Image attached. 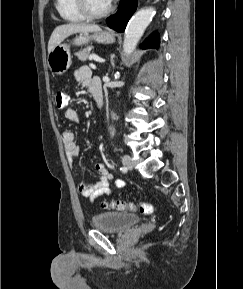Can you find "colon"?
I'll list each match as a JSON object with an SVG mask.
<instances>
[{"mask_svg":"<svg viewBox=\"0 0 243 289\" xmlns=\"http://www.w3.org/2000/svg\"><path fill=\"white\" fill-rule=\"evenodd\" d=\"M54 103L57 109L61 110L65 108L67 104V95L63 91H58L54 96ZM102 206L105 208H112L117 210H130L138 211L142 214H151L153 207L151 204L146 202L141 203H127L124 201H115V202H102Z\"/></svg>","mask_w":243,"mask_h":289,"instance_id":"obj_1","label":"colon"}]
</instances>
